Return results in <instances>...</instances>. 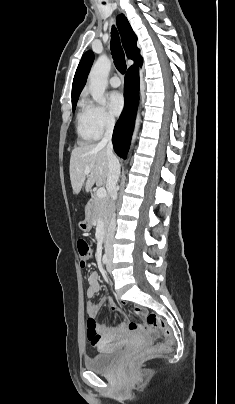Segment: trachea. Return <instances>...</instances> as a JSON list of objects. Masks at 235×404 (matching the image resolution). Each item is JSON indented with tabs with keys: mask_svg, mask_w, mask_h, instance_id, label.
<instances>
[{
	"mask_svg": "<svg viewBox=\"0 0 235 404\" xmlns=\"http://www.w3.org/2000/svg\"><path fill=\"white\" fill-rule=\"evenodd\" d=\"M111 54L114 60L115 67L120 73L124 74L126 72L125 55L115 27H112L111 30Z\"/></svg>",
	"mask_w": 235,
	"mask_h": 404,
	"instance_id": "obj_1",
	"label": "trachea"
}]
</instances>
